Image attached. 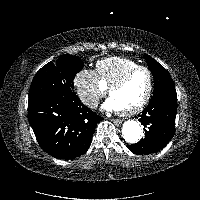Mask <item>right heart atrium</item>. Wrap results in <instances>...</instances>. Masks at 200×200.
<instances>
[{
  "label": "right heart atrium",
  "mask_w": 200,
  "mask_h": 200,
  "mask_svg": "<svg viewBox=\"0 0 200 200\" xmlns=\"http://www.w3.org/2000/svg\"><path fill=\"white\" fill-rule=\"evenodd\" d=\"M74 90L79 100L88 108L93 109L105 95V88L101 86L96 72L89 68L77 71L72 80Z\"/></svg>",
  "instance_id": "1"
}]
</instances>
